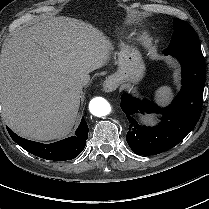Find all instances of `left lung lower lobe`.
I'll return each instance as SVG.
<instances>
[{"label":"left lung lower lobe","instance_id":"obj_1","mask_svg":"<svg viewBox=\"0 0 209 209\" xmlns=\"http://www.w3.org/2000/svg\"><path fill=\"white\" fill-rule=\"evenodd\" d=\"M163 53L177 58L182 67V89L172 104L160 109L152 102L135 99L127 93L121 96L120 106L130 123L126 140L138 155H156L176 146L196 126L202 111L206 71L201 46ZM139 112L163 116L158 125L148 127L138 123L135 114Z\"/></svg>","mask_w":209,"mask_h":209}]
</instances>
